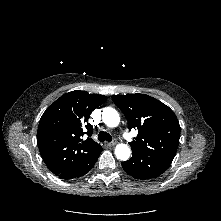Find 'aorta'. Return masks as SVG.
Returning <instances> with one entry per match:
<instances>
[{
  "label": "aorta",
  "mask_w": 221,
  "mask_h": 221,
  "mask_svg": "<svg viewBox=\"0 0 221 221\" xmlns=\"http://www.w3.org/2000/svg\"><path fill=\"white\" fill-rule=\"evenodd\" d=\"M102 120L108 127L114 128L119 125L120 117L118 112L114 108L106 107L102 111ZM130 154V148L126 144H118L115 147V155L119 160H128Z\"/></svg>",
  "instance_id": "762f6f07"
}]
</instances>
